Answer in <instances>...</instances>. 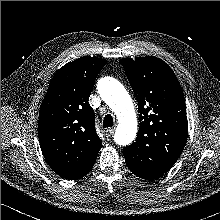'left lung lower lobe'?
I'll return each mask as SVG.
<instances>
[{"label":"left lung lower lobe","instance_id":"1","mask_svg":"<svg viewBox=\"0 0 220 220\" xmlns=\"http://www.w3.org/2000/svg\"><path fill=\"white\" fill-rule=\"evenodd\" d=\"M124 157L128 168L140 178L154 180L167 173L165 171H159L153 168H139L137 166H134L133 163H131L126 156Z\"/></svg>","mask_w":220,"mask_h":220}]
</instances>
